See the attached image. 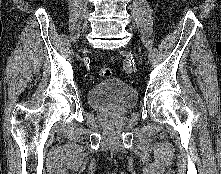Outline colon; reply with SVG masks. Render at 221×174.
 <instances>
[{"mask_svg": "<svg viewBox=\"0 0 221 174\" xmlns=\"http://www.w3.org/2000/svg\"><path fill=\"white\" fill-rule=\"evenodd\" d=\"M99 75L104 78H108L112 76V71L107 67H102L99 70Z\"/></svg>", "mask_w": 221, "mask_h": 174, "instance_id": "5ec220e1", "label": "colon"}]
</instances>
